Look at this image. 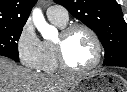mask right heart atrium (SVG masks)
<instances>
[{
    "label": "right heart atrium",
    "mask_w": 127,
    "mask_h": 92,
    "mask_svg": "<svg viewBox=\"0 0 127 92\" xmlns=\"http://www.w3.org/2000/svg\"><path fill=\"white\" fill-rule=\"evenodd\" d=\"M16 51L20 63L27 69L39 70L43 61L42 41L33 26L26 23L16 39Z\"/></svg>",
    "instance_id": "d8ad5b80"
}]
</instances>
